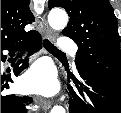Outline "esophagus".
Segmentation results:
<instances>
[{
  "label": "esophagus",
  "mask_w": 121,
  "mask_h": 113,
  "mask_svg": "<svg viewBox=\"0 0 121 113\" xmlns=\"http://www.w3.org/2000/svg\"><path fill=\"white\" fill-rule=\"evenodd\" d=\"M42 22H43L44 27H45V34H44L45 37H47V38H52L51 30H50V28H49L48 25H47L45 16H43ZM40 102H41V105L43 106V109H45V110H46V109H49V108L51 107V105H52V101H51V100L41 99Z\"/></svg>",
  "instance_id": "34e87169"
}]
</instances>
